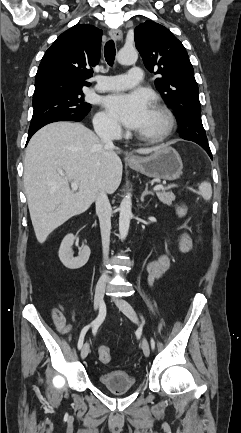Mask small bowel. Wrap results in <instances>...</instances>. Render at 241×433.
Instances as JSON below:
<instances>
[{
  "label": "small bowel",
  "mask_w": 241,
  "mask_h": 433,
  "mask_svg": "<svg viewBox=\"0 0 241 433\" xmlns=\"http://www.w3.org/2000/svg\"><path fill=\"white\" fill-rule=\"evenodd\" d=\"M186 212L187 210L184 204L179 205L176 209V213L179 218H184L186 216ZM191 248L192 239L187 232H183L179 238L178 249L181 253H187L191 250ZM169 266L170 259L167 255H162L158 259L150 262L148 266L150 282H154L155 280L159 279L169 269ZM51 315L54 324L59 332L66 334L72 330L73 325L66 323L63 314L58 308H53ZM72 317H75L74 312H72Z\"/></svg>",
  "instance_id": "c3829d8e"
}]
</instances>
